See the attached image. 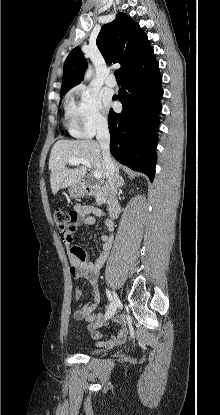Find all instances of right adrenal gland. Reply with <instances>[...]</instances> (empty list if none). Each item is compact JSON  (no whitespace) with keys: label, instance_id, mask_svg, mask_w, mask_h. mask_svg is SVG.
I'll list each match as a JSON object with an SVG mask.
<instances>
[{"label":"right adrenal gland","instance_id":"right-adrenal-gland-1","mask_svg":"<svg viewBox=\"0 0 220 415\" xmlns=\"http://www.w3.org/2000/svg\"><path fill=\"white\" fill-rule=\"evenodd\" d=\"M115 177L116 178H119V179H121L123 181V178H122V176L119 175V171L118 170L115 173Z\"/></svg>","mask_w":220,"mask_h":415}]
</instances>
